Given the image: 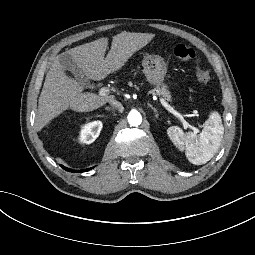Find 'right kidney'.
Instances as JSON below:
<instances>
[{
	"mask_svg": "<svg viewBox=\"0 0 255 255\" xmlns=\"http://www.w3.org/2000/svg\"><path fill=\"white\" fill-rule=\"evenodd\" d=\"M102 126L101 121H93L82 125L78 138L79 142L85 144H91L94 142L99 136Z\"/></svg>",
	"mask_w": 255,
	"mask_h": 255,
	"instance_id": "right-kidney-1",
	"label": "right kidney"
}]
</instances>
